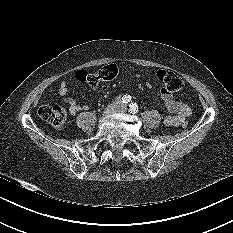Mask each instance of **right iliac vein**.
<instances>
[{
    "mask_svg": "<svg viewBox=\"0 0 233 233\" xmlns=\"http://www.w3.org/2000/svg\"><path fill=\"white\" fill-rule=\"evenodd\" d=\"M118 104H111V105H109L106 109H105V111H104V115L105 116H108V115H110V114H113L114 112H116L117 110H118Z\"/></svg>",
    "mask_w": 233,
    "mask_h": 233,
    "instance_id": "obj_1",
    "label": "right iliac vein"
}]
</instances>
